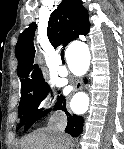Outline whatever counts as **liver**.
I'll return each mask as SVG.
<instances>
[{
  "instance_id": "obj_1",
  "label": "liver",
  "mask_w": 124,
  "mask_h": 149,
  "mask_svg": "<svg viewBox=\"0 0 124 149\" xmlns=\"http://www.w3.org/2000/svg\"><path fill=\"white\" fill-rule=\"evenodd\" d=\"M70 139V138H69ZM22 149H67L64 139L56 137L51 127L38 129L22 142Z\"/></svg>"
}]
</instances>
